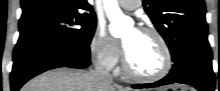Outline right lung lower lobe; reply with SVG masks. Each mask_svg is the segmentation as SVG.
<instances>
[{"instance_id": "98d812e1", "label": "right lung lower lobe", "mask_w": 220, "mask_h": 91, "mask_svg": "<svg viewBox=\"0 0 220 91\" xmlns=\"http://www.w3.org/2000/svg\"><path fill=\"white\" fill-rule=\"evenodd\" d=\"M90 50L45 35H21L13 52L11 90L18 91L34 76L59 67L86 68Z\"/></svg>"}]
</instances>
